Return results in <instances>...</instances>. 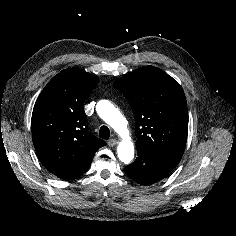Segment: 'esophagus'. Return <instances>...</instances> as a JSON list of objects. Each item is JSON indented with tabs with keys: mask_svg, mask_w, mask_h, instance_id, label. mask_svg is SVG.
<instances>
[{
	"mask_svg": "<svg viewBox=\"0 0 236 236\" xmlns=\"http://www.w3.org/2000/svg\"><path fill=\"white\" fill-rule=\"evenodd\" d=\"M117 144V141L115 139H110L108 141L109 147H114Z\"/></svg>",
	"mask_w": 236,
	"mask_h": 236,
	"instance_id": "esophagus-1",
	"label": "esophagus"
}]
</instances>
